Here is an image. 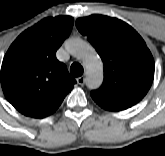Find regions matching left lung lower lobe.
<instances>
[{"label":"left lung lower lobe","mask_w":165,"mask_h":156,"mask_svg":"<svg viewBox=\"0 0 165 156\" xmlns=\"http://www.w3.org/2000/svg\"><path fill=\"white\" fill-rule=\"evenodd\" d=\"M93 100H94L100 107H102L103 109L108 110V111H114V110L110 109L109 107L102 105L100 102L96 101L95 99H93Z\"/></svg>","instance_id":"obj_1"}]
</instances>
